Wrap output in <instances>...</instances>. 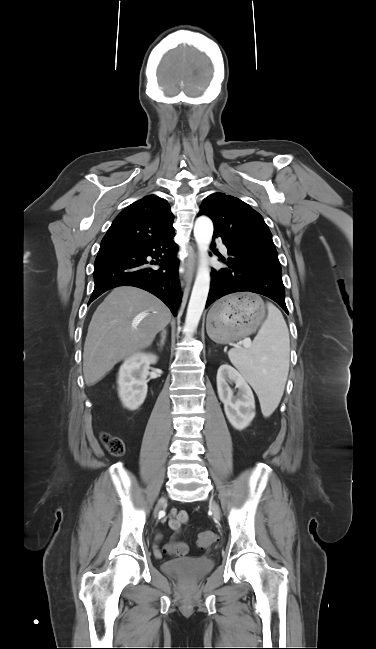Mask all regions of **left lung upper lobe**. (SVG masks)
I'll list each match as a JSON object with an SVG mask.
<instances>
[{"mask_svg":"<svg viewBox=\"0 0 376 649\" xmlns=\"http://www.w3.org/2000/svg\"><path fill=\"white\" fill-rule=\"evenodd\" d=\"M199 215H207L212 219L214 234L279 263L268 226L262 216L245 202L224 193H214L203 200Z\"/></svg>","mask_w":376,"mask_h":649,"instance_id":"left-lung-upper-lobe-1","label":"left lung upper lobe"}]
</instances>
